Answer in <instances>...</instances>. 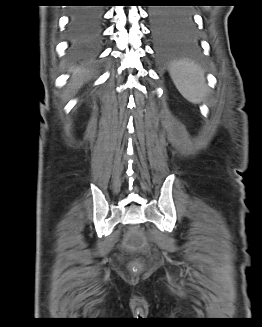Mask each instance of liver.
<instances>
[{
    "label": "liver",
    "instance_id": "6515ba94",
    "mask_svg": "<svg viewBox=\"0 0 262 327\" xmlns=\"http://www.w3.org/2000/svg\"><path fill=\"white\" fill-rule=\"evenodd\" d=\"M73 73V88H78L83 83V78L85 75V70L80 67H75L70 70Z\"/></svg>",
    "mask_w": 262,
    "mask_h": 327
}]
</instances>
